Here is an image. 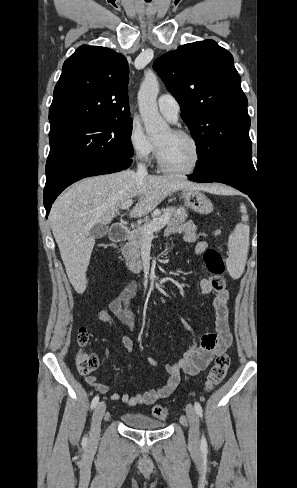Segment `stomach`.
Wrapping results in <instances>:
<instances>
[{"mask_svg":"<svg viewBox=\"0 0 297 488\" xmlns=\"http://www.w3.org/2000/svg\"><path fill=\"white\" fill-rule=\"evenodd\" d=\"M185 206L200 214H210L213 204L209 198L199 190L182 189Z\"/></svg>","mask_w":297,"mask_h":488,"instance_id":"0dacf381","label":"stomach"}]
</instances>
